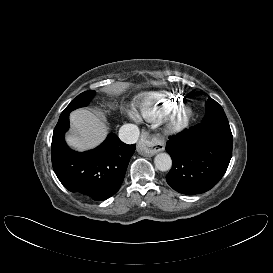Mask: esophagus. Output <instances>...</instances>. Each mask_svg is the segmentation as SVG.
<instances>
[{
	"label": "esophagus",
	"instance_id": "obj_1",
	"mask_svg": "<svg viewBox=\"0 0 273 273\" xmlns=\"http://www.w3.org/2000/svg\"><path fill=\"white\" fill-rule=\"evenodd\" d=\"M165 149L164 141L147 131L142 132L137 151L144 156H153Z\"/></svg>",
	"mask_w": 273,
	"mask_h": 273
}]
</instances>
